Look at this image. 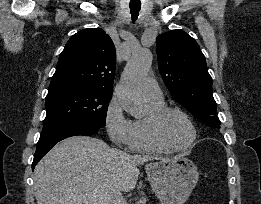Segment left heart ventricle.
Returning <instances> with one entry per match:
<instances>
[{"label": "left heart ventricle", "instance_id": "b2bd125f", "mask_svg": "<svg viewBox=\"0 0 261 204\" xmlns=\"http://www.w3.org/2000/svg\"><path fill=\"white\" fill-rule=\"evenodd\" d=\"M163 130L167 139L177 146L186 145L192 138L190 125L178 114H171L166 118Z\"/></svg>", "mask_w": 261, "mask_h": 204}]
</instances>
